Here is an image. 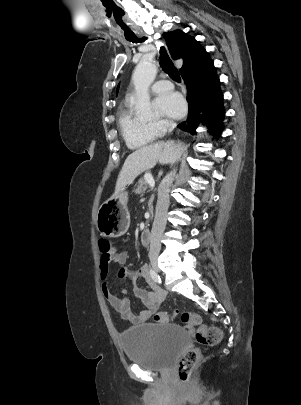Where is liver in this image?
<instances>
[{"label":"liver","mask_w":301,"mask_h":405,"mask_svg":"<svg viewBox=\"0 0 301 405\" xmlns=\"http://www.w3.org/2000/svg\"><path fill=\"white\" fill-rule=\"evenodd\" d=\"M182 152L183 145L173 141L156 142L132 152L123 164L113 196L118 195L141 173L154 168L158 162L162 165L173 164Z\"/></svg>","instance_id":"liver-1"}]
</instances>
